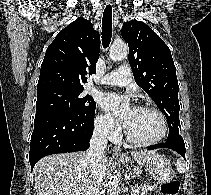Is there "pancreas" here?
<instances>
[{"label": "pancreas", "instance_id": "cf45deb5", "mask_svg": "<svg viewBox=\"0 0 211 195\" xmlns=\"http://www.w3.org/2000/svg\"><path fill=\"white\" fill-rule=\"evenodd\" d=\"M136 189H137L136 195H146L149 191L154 190L155 186L143 185V186H137Z\"/></svg>", "mask_w": 211, "mask_h": 195}]
</instances>
